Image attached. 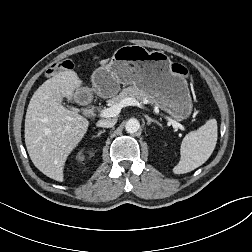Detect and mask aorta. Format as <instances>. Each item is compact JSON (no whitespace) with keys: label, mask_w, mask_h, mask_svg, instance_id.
Listing matches in <instances>:
<instances>
[{"label":"aorta","mask_w":252,"mask_h":252,"mask_svg":"<svg viewBox=\"0 0 252 252\" xmlns=\"http://www.w3.org/2000/svg\"><path fill=\"white\" fill-rule=\"evenodd\" d=\"M140 129V123L137 119H129L125 125L127 133H136Z\"/></svg>","instance_id":"obj_1"}]
</instances>
